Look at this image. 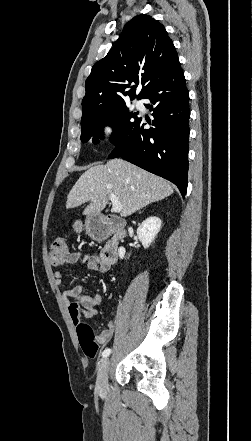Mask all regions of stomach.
<instances>
[{
    "label": "stomach",
    "instance_id": "0dacf381",
    "mask_svg": "<svg viewBox=\"0 0 252 441\" xmlns=\"http://www.w3.org/2000/svg\"><path fill=\"white\" fill-rule=\"evenodd\" d=\"M92 223H93V218L89 216L87 217L84 225L82 224L81 221H76L73 227L76 232H81L84 227L86 231L91 234Z\"/></svg>",
    "mask_w": 252,
    "mask_h": 441
}]
</instances>
